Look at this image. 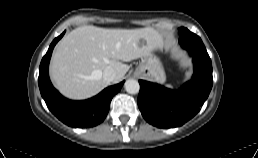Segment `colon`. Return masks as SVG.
Returning <instances> with one entry per match:
<instances>
[{"label":"colon","instance_id":"5ec220e1","mask_svg":"<svg viewBox=\"0 0 258 158\" xmlns=\"http://www.w3.org/2000/svg\"><path fill=\"white\" fill-rule=\"evenodd\" d=\"M163 49L165 52H168V53L172 52V48L169 44H164Z\"/></svg>","mask_w":258,"mask_h":158}]
</instances>
